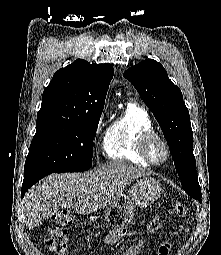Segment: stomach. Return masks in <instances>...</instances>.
Masks as SVG:
<instances>
[{"instance_id":"0dacf381","label":"stomach","mask_w":221,"mask_h":255,"mask_svg":"<svg viewBox=\"0 0 221 255\" xmlns=\"http://www.w3.org/2000/svg\"><path fill=\"white\" fill-rule=\"evenodd\" d=\"M162 187L159 181L143 177L133 185L129 194L116 196L105 208L106 221L115 228L130 224L136 207H147L160 198Z\"/></svg>"}]
</instances>
